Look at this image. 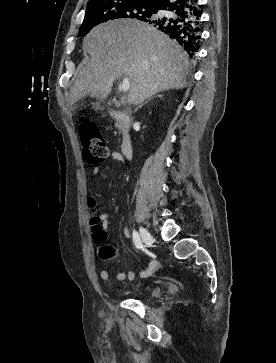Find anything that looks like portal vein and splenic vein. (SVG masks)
<instances>
[{
	"label": "portal vein and splenic vein",
	"mask_w": 276,
	"mask_h": 363,
	"mask_svg": "<svg viewBox=\"0 0 276 363\" xmlns=\"http://www.w3.org/2000/svg\"><path fill=\"white\" fill-rule=\"evenodd\" d=\"M130 88V82H129V79L128 78H124L123 81H122V84H121V90L123 92H127Z\"/></svg>",
	"instance_id": "portal-vein-and-splenic-vein-1"
}]
</instances>
